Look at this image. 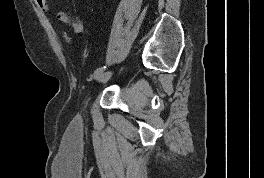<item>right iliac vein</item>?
Segmentation results:
<instances>
[{
	"instance_id": "1",
	"label": "right iliac vein",
	"mask_w": 264,
	"mask_h": 178,
	"mask_svg": "<svg viewBox=\"0 0 264 178\" xmlns=\"http://www.w3.org/2000/svg\"><path fill=\"white\" fill-rule=\"evenodd\" d=\"M112 74L113 73L111 71L102 72L99 75H97L95 78H96L97 82L104 83V82H106V81H108L110 79Z\"/></svg>"
}]
</instances>
